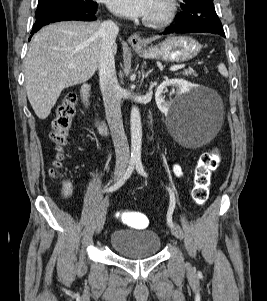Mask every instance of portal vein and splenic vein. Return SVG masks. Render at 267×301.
Segmentation results:
<instances>
[{"mask_svg": "<svg viewBox=\"0 0 267 301\" xmlns=\"http://www.w3.org/2000/svg\"><path fill=\"white\" fill-rule=\"evenodd\" d=\"M74 66H75L74 64H70V67H74ZM183 67H184V65L172 66V67H170V71L175 72V71H178L179 69H181Z\"/></svg>", "mask_w": 267, "mask_h": 301, "instance_id": "obj_1", "label": "portal vein and splenic vein"}]
</instances>
